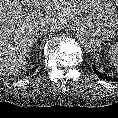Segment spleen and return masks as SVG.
Returning a JSON list of instances; mask_svg holds the SVG:
<instances>
[{"instance_id":"obj_1","label":"spleen","mask_w":118,"mask_h":118,"mask_svg":"<svg viewBox=\"0 0 118 118\" xmlns=\"http://www.w3.org/2000/svg\"><path fill=\"white\" fill-rule=\"evenodd\" d=\"M109 54L112 63L118 69V43L110 46Z\"/></svg>"}]
</instances>
